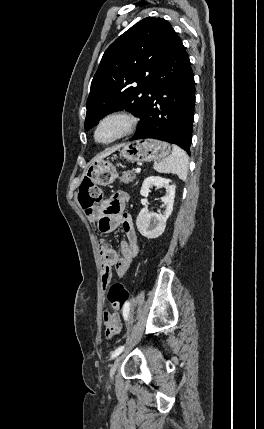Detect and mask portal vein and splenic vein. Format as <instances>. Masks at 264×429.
Listing matches in <instances>:
<instances>
[{"label":"portal vein and splenic vein","instance_id":"portal-vein-and-splenic-vein-1","mask_svg":"<svg viewBox=\"0 0 264 429\" xmlns=\"http://www.w3.org/2000/svg\"><path fill=\"white\" fill-rule=\"evenodd\" d=\"M135 172L136 173H140L141 172V168H136Z\"/></svg>","mask_w":264,"mask_h":429}]
</instances>
